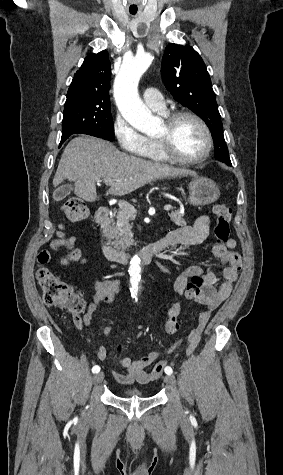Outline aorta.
Returning a JSON list of instances; mask_svg holds the SVG:
<instances>
[{
  "label": "aorta",
  "instance_id": "obj_1",
  "mask_svg": "<svg viewBox=\"0 0 283 475\" xmlns=\"http://www.w3.org/2000/svg\"><path fill=\"white\" fill-rule=\"evenodd\" d=\"M150 53H139L123 61L114 81V97L122 116L137 130L153 135L161 127L160 120L142 102L138 94V83L152 62ZM142 265L139 255L135 254L130 261L129 275L131 296L138 300Z\"/></svg>",
  "mask_w": 283,
  "mask_h": 475
}]
</instances>
